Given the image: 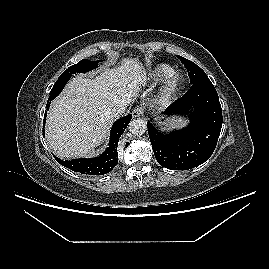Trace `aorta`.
Returning a JSON list of instances; mask_svg holds the SVG:
<instances>
[{"mask_svg":"<svg viewBox=\"0 0 269 269\" xmlns=\"http://www.w3.org/2000/svg\"><path fill=\"white\" fill-rule=\"evenodd\" d=\"M129 130L134 135H142L147 130V122L142 119H133L129 123Z\"/></svg>","mask_w":269,"mask_h":269,"instance_id":"aorta-1","label":"aorta"}]
</instances>
